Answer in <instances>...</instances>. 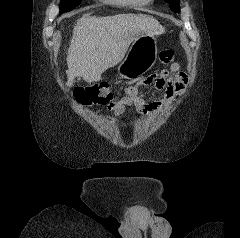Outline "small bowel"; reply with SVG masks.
Wrapping results in <instances>:
<instances>
[{
  "mask_svg": "<svg viewBox=\"0 0 240 238\" xmlns=\"http://www.w3.org/2000/svg\"><path fill=\"white\" fill-rule=\"evenodd\" d=\"M186 83L187 76L183 72L181 65L173 63L170 70H162L158 74L151 75L135 84L123 87L124 95L110 101L107 109L115 117L123 114L128 107H134L138 112L150 115L175 100L182 93ZM151 84H154L157 90L164 91L165 94L163 99L148 103L139 95V88Z\"/></svg>",
  "mask_w": 240,
  "mask_h": 238,
  "instance_id": "obj_1",
  "label": "small bowel"
}]
</instances>
